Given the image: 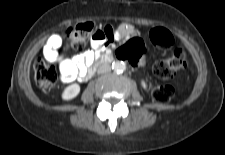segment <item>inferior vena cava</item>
Instances as JSON below:
<instances>
[{"mask_svg":"<svg viewBox=\"0 0 225 155\" xmlns=\"http://www.w3.org/2000/svg\"><path fill=\"white\" fill-rule=\"evenodd\" d=\"M108 71H110V66L108 64L101 65L97 70L98 73H105Z\"/></svg>","mask_w":225,"mask_h":155,"instance_id":"1","label":"inferior vena cava"}]
</instances>
